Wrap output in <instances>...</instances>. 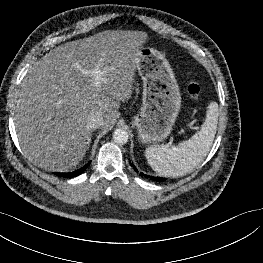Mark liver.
Returning <instances> with one entry per match:
<instances>
[{
	"label": "liver",
	"instance_id": "6515ba94",
	"mask_svg": "<svg viewBox=\"0 0 263 263\" xmlns=\"http://www.w3.org/2000/svg\"><path fill=\"white\" fill-rule=\"evenodd\" d=\"M142 31L106 30L59 45L35 62L14 99L13 119L28 161L65 172L83 159L91 141L87 117L100 113L111 128L120 102L132 96ZM98 67L105 81L94 85L86 71Z\"/></svg>",
	"mask_w": 263,
	"mask_h": 263
}]
</instances>
